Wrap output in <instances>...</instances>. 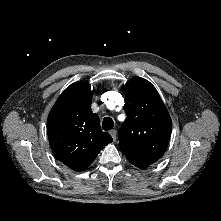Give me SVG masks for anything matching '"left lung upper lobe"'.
<instances>
[{"mask_svg": "<svg viewBox=\"0 0 221 221\" xmlns=\"http://www.w3.org/2000/svg\"><path fill=\"white\" fill-rule=\"evenodd\" d=\"M122 90L127 118L119 131V148L133 165L145 169L166 151L172 121L157 90L146 79L134 77Z\"/></svg>", "mask_w": 221, "mask_h": 221, "instance_id": "left-lung-upper-lobe-1", "label": "left lung upper lobe"}]
</instances>
